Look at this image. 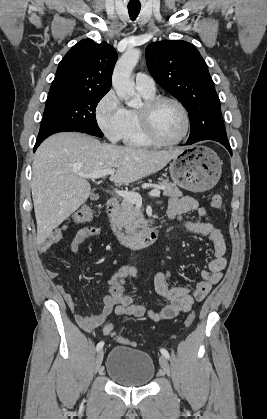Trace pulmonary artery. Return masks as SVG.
I'll list each match as a JSON object with an SVG mask.
<instances>
[{"label": "pulmonary artery", "instance_id": "e3ab8cb5", "mask_svg": "<svg viewBox=\"0 0 267 419\" xmlns=\"http://www.w3.org/2000/svg\"><path fill=\"white\" fill-rule=\"evenodd\" d=\"M135 84L137 90L140 92L155 93L156 86L154 79L143 72L136 74Z\"/></svg>", "mask_w": 267, "mask_h": 419}]
</instances>
